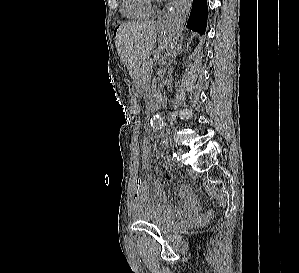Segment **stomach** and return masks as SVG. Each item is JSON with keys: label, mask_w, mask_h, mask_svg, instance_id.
I'll list each match as a JSON object with an SVG mask.
<instances>
[{"label": "stomach", "mask_w": 299, "mask_h": 273, "mask_svg": "<svg viewBox=\"0 0 299 273\" xmlns=\"http://www.w3.org/2000/svg\"><path fill=\"white\" fill-rule=\"evenodd\" d=\"M136 83H137V89L139 90V91H142V89H143V79H142V77H137L136 78Z\"/></svg>", "instance_id": "1"}]
</instances>
